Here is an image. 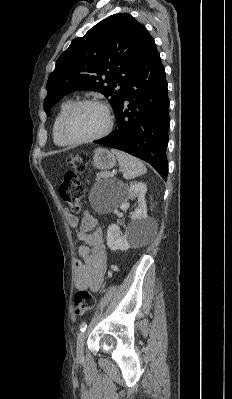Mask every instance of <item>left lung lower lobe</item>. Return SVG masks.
<instances>
[{"label":"left lung lower lobe","mask_w":232,"mask_h":399,"mask_svg":"<svg viewBox=\"0 0 232 399\" xmlns=\"http://www.w3.org/2000/svg\"><path fill=\"white\" fill-rule=\"evenodd\" d=\"M115 117L116 128L94 142L148 162L166 180L169 99L165 69L154 39L149 41L130 75Z\"/></svg>","instance_id":"1"}]
</instances>
